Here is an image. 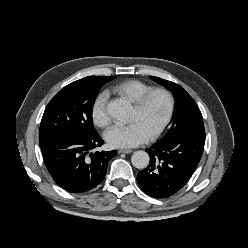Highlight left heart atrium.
Segmentation results:
<instances>
[{
	"instance_id": "1",
	"label": "left heart atrium",
	"mask_w": 248,
	"mask_h": 248,
	"mask_svg": "<svg viewBox=\"0 0 248 248\" xmlns=\"http://www.w3.org/2000/svg\"><path fill=\"white\" fill-rule=\"evenodd\" d=\"M149 133L144 126L133 121L128 125H116L105 133L107 143L114 148H130L146 142Z\"/></svg>"
}]
</instances>
